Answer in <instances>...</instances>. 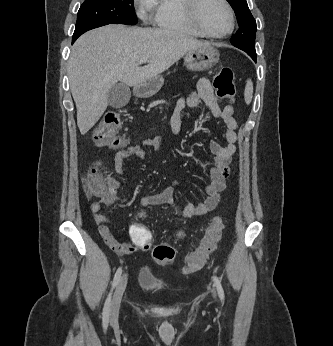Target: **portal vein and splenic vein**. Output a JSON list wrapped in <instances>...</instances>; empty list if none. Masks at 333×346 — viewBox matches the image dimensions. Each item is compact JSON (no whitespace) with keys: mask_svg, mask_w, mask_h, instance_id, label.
<instances>
[{"mask_svg":"<svg viewBox=\"0 0 333 346\" xmlns=\"http://www.w3.org/2000/svg\"><path fill=\"white\" fill-rule=\"evenodd\" d=\"M146 62H148V59H147V58H143V59L140 60V64H141V63H146Z\"/></svg>","mask_w":333,"mask_h":346,"instance_id":"obj_1","label":"portal vein and splenic vein"}]
</instances>
